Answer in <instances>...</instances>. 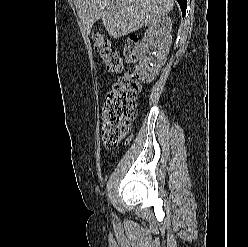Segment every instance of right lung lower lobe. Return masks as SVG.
Returning <instances> with one entry per match:
<instances>
[{"mask_svg": "<svg viewBox=\"0 0 248 247\" xmlns=\"http://www.w3.org/2000/svg\"><path fill=\"white\" fill-rule=\"evenodd\" d=\"M177 2L180 5L181 11H182V15H185L186 12V6H187V0H177Z\"/></svg>", "mask_w": 248, "mask_h": 247, "instance_id": "right-lung-lower-lobe-1", "label": "right lung lower lobe"}]
</instances>
